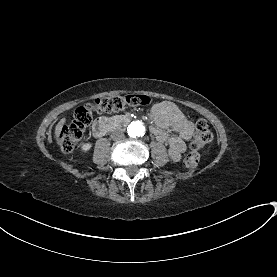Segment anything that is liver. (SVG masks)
<instances>
[{
	"instance_id": "liver-1",
	"label": "liver",
	"mask_w": 277,
	"mask_h": 277,
	"mask_svg": "<svg viewBox=\"0 0 277 277\" xmlns=\"http://www.w3.org/2000/svg\"><path fill=\"white\" fill-rule=\"evenodd\" d=\"M66 122V118H62L59 123L56 125V128H55V135L56 137L59 136V133L61 132V129H62V126L65 124Z\"/></svg>"
}]
</instances>
